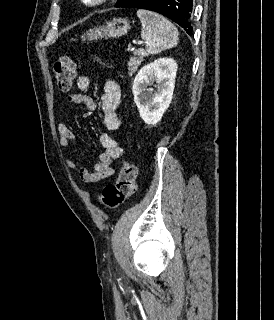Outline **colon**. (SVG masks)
<instances>
[{"instance_id": "1", "label": "colon", "mask_w": 274, "mask_h": 320, "mask_svg": "<svg viewBox=\"0 0 274 320\" xmlns=\"http://www.w3.org/2000/svg\"><path fill=\"white\" fill-rule=\"evenodd\" d=\"M53 73L57 89L63 94L69 93L76 75L74 58L69 55L59 57L53 65ZM135 174V167L123 162L116 183L105 186L98 195L99 202L109 209L124 204L134 194Z\"/></svg>"}]
</instances>
